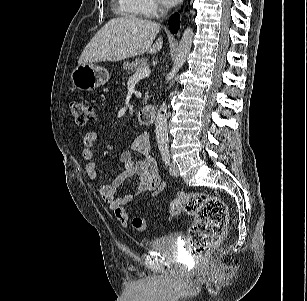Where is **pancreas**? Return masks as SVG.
<instances>
[{
	"label": "pancreas",
	"instance_id": "pancreas-1",
	"mask_svg": "<svg viewBox=\"0 0 307 301\" xmlns=\"http://www.w3.org/2000/svg\"><path fill=\"white\" fill-rule=\"evenodd\" d=\"M141 67H147V59L144 58H136L131 62H125L123 68L127 71L128 74H132L134 71ZM148 100V93L145 94L144 102L146 103Z\"/></svg>",
	"mask_w": 307,
	"mask_h": 301
}]
</instances>
